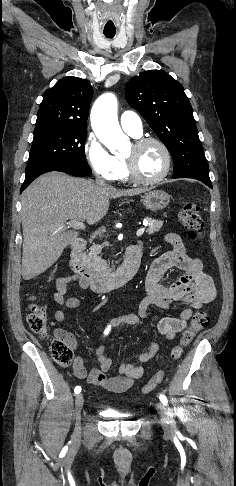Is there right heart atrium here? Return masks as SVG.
<instances>
[{"label": "right heart atrium", "instance_id": "d8ad5b80", "mask_svg": "<svg viewBox=\"0 0 236 486\" xmlns=\"http://www.w3.org/2000/svg\"><path fill=\"white\" fill-rule=\"evenodd\" d=\"M86 160L94 173L108 181L118 179L120 166L118 160L113 156L95 134L90 133L84 144Z\"/></svg>", "mask_w": 236, "mask_h": 486}]
</instances>
